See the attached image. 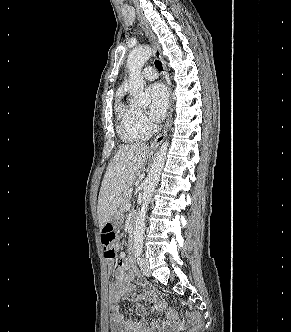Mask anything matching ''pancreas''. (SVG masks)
Here are the masks:
<instances>
[{
	"label": "pancreas",
	"instance_id": "1",
	"mask_svg": "<svg viewBox=\"0 0 291 332\" xmlns=\"http://www.w3.org/2000/svg\"><path fill=\"white\" fill-rule=\"evenodd\" d=\"M131 195H132V189H128L121 197L120 199V211L126 210V205L130 203L131 201Z\"/></svg>",
	"mask_w": 291,
	"mask_h": 332
}]
</instances>
